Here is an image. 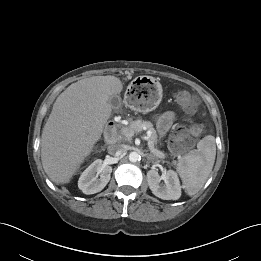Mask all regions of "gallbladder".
I'll list each match as a JSON object with an SVG mask.
<instances>
[{"instance_id":"obj_1","label":"gallbladder","mask_w":261,"mask_h":261,"mask_svg":"<svg viewBox=\"0 0 261 261\" xmlns=\"http://www.w3.org/2000/svg\"><path fill=\"white\" fill-rule=\"evenodd\" d=\"M109 104L111 105L112 108H119L122 102L119 96L113 95L109 99Z\"/></svg>"}]
</instances>
